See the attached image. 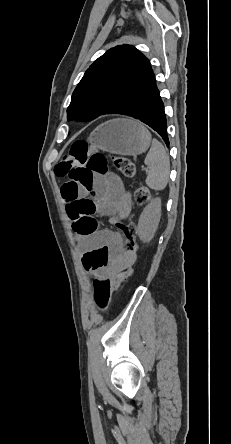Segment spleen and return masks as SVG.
<instances>
[{"label":"spleen","mask_w":231,"mask_h":444,"mask_svg":"<svg viewBox=\"0 0 231 444\" xmlns=\"http://www.w3.org/2000/svg\"><path fill=\"white\" fill-rule=\"evenodd\" d=\"M144 163L149 168L145 181L147 186L156 191L163 190L169 180L170 161L166 149L157 139H153Z\"/></svg>","instance_id":"1"}]
</instances>
